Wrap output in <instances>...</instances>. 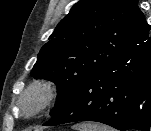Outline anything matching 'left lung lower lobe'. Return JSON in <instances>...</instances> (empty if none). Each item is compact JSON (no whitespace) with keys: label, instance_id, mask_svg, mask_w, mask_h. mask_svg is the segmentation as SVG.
Listing matches in <instances>:
<instances>
[{"label":"left lung lower lobe","instance_id":"obj_1","mask_svg":"<svg viewBox=\"0 0 151 131\" xmlns=\"http://www.w3.org/2000/svg\"><path fill=\"white\" fill-rule=\"evenodd\" d=\"M150 25L141 12L131 52L116 67L87 77L44 126L96 121L126 131H149L151 122Z\"/></svg>","mask_w":151,"mask_h":131}]
</instances>
